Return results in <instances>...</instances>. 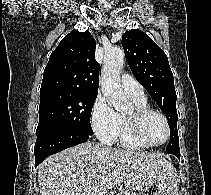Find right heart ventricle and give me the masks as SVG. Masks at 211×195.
<instances>
[{"label":"right heart ventricle","mask_w":211,"mask_h":195,"mask_svg":"<svg viewBox=\"0 0 211 195\" xmlns=\"http://www.w3.org/2000/svg\"><path fill=\"white\" fill-rule=\"evenodd\" d=\"M137 107H148L147 99L132 98ZM123 147L131 149H143L146 148L143 144L139 143L131 135L125 115H120V127L116 139Z\"/></svg>","instance_id":"e07e8e85"}]
</instances>
